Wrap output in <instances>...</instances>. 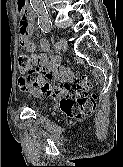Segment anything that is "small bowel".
<instances>
[{"instance_id":"c3829d8e","label":"small bowel","mask_w":123,"mask_h":167,"mask_svg":"<svg viewBox=\"0 0 123 167\" xmlns=\"http://www.w3.org/2000/svg\"><path fill=\"white\" fill-rule=\"evenodd\" d=\"M27 4V0H17L18 11H25ZM20 30V45L30 53L34 52L35 44L29 38L34 31V24L29 12L22 13ZM41 48L42 53L33 57L31 60L32 65L38 67L44 74L50 76L52 79L70 80L72 76L71 72L60 66L57 58L47 55L48 41L46 39L41 40ZM18 84L22 92L33 95L39 94L38 89L27 83L24 78H19Z\"/></svg>"}]
</instances>
